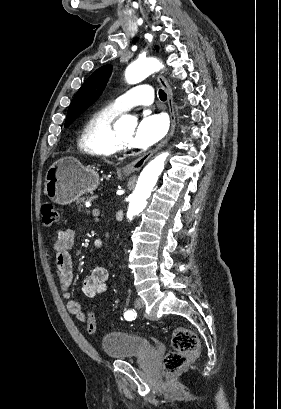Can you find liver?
<instances>
[{"label": "liver", "mask_w": 281, "mask_h": 409, "mask_svg": "<svg viewBox=\"0 0 281 409\" xmlns=\"http://www.w3.org/2000/svg\"><path fill=\"white\" fill-rule=\"evenodd\" d=\"M105 162H110V160H106V158H104Z\"/></svg>", "instance_id": "6515ba94"}]
</instances>
